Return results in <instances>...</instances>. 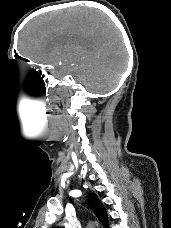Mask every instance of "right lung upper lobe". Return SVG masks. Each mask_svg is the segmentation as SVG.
Here are the masks:
<instances>
[{"instance_id":"cb5924a9","label":"right lung upper lobe","mask_w":171,"mask_h":228,"mask_svg":"<svg viewBox=\"0 0 171 228\" xmlns=\"http://www.w3.org/2000/svg\"><path fill=\"white\" fill-rule=\"evenodd\" d=\"M88 205L91 209H93L94 213L96 214L99 221L105 225L106 228H108V217L106 210L103 206V204L99 201L96 194H91L88 199ZM59 228V227H57Z\"/></svg>"}]
</instances>
